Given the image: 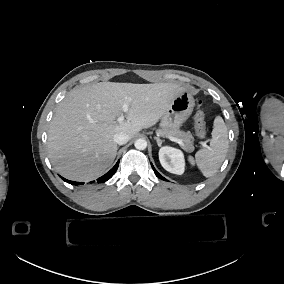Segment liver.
I'll return each instance as SVG.
<instances>
[{"mask_svg":"<svg viewBox=\"0 0 284 284\" xmlns=\"http://www.w3.org/2000/svg\"><path fill=\"white\" fill-rule=\"evenodd\" d=\"M186 89L176 83L101 82L75 88L58 104L48 130V153L55 169L68 179L91 180L104 173L117 154L114 135L131 140L156 125ZM127 121L119 122L123 105Z\"/></svg>","mask_w":284,"mask_h":284,"instance_id":"obj_1","label":"liver"}]
</instances>
